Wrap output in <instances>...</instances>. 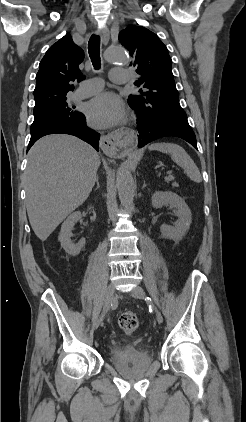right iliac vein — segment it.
Listing matches in <instances>:
<instances>
[{
	"instance_id": "right-iliac-vein-1",
	"label": "right iliac vein",
	"mask_w": 246,
	"mask_h": 422,
	"mask_svg": "<svg viewBox=\"0 0 246 422\" xmlns=\"http://www.w3.org/2000/svg\"><path fill=\"white\" fill-rule=\"evenodd\" d=\"M114 294H115V288L113 284H109L106 290V299L104 302V309H103L102 314L99 316V318L97 319L95 323V329H97L102 324L107 311L109 310L110 306H112V304L114 303L115 301Z\"/></svg>"
}]
</instances>
